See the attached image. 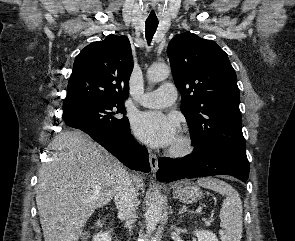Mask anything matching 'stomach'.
I'll use <instances>...</instances> for the list:
<instances>
[{"label":"stomach","mask_w":295,"mask_h":241,"mask_svg":"<svg viewBox=\"0 0 295 241\" xmlns=\"http://www.w3.org/2000/svg\"><path fill=\"white\" fill-rule=\"evenodd\" d=\"M174 195L183 203H195L202 198V191L200 188L190 181H183L178 183L173 189Z\"/></svg>","instance_id":"obj_1"}]
</instances>
